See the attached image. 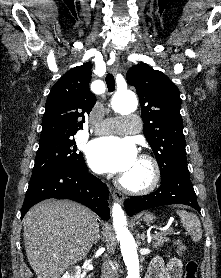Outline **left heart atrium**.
I'll list each match as a JSON object with an SVG mask.
<instances>
[{
  "instance_id": "39dd6f15",
  "label": "left heart atrium",
  "mask_w": 221,
  "mask_h": 278,
  "mask_svg": "<svg viewBox=\"0 0 221 278\" xmlns=\"http://www.w3.org/2000/svg\"><path fill=\"white\" fill-rule=\"evenodd\" d=\"M86 156L95 172L123 175L137 160V149L130 140L108 136L92 140Z\"/></svg>"
}]
</instances>
